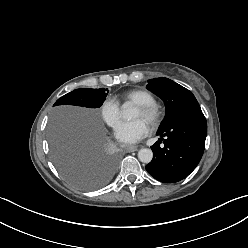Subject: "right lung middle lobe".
<instances>
[{
  "label": "right lung middle lobe",
  "instance_id": "obj_1",
  "mask_svg": "<svg viewBox=\"0 0 248 248\" xmlns=\"http://www.w3.org/2000/svg\"><path fill=\"white\" fill-rule=\"evenodd\" d=\"M108 89H76L61 98L56 105H77L99 108ZM54 164L72 185L84 190H95L106 185L116 170L114 158L100 152L103 138L95 119L88 117L76 121L73 127L54 125L49 133Z\"/></svg>",
  "mask_w": 248,
  "mask_h": 248
}]
</instances>
